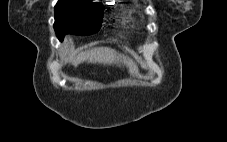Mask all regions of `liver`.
Instances as JSON below:
<instances>
[{"label": "liver", "instance_id": "liver-1", "mask_svg": "<svg viewBox=\"0 0 227 142\" xmlns=\"http://www.w3.org/2000/svg\"><path fill=\"white\" fill-rule=\"evenodd\" d=\"M64 51L69 54L72 51V40L70 38L66 39L64 42ZM70 63L77 67L83 62L93 63V64H103V65H125L129 72L133 75L138 74V68L136 64L126 56L119 54L114 49L107 47H97L84 52H80L77 55H70Z\"/></svg>", "mask_w": 227, "mask_h": 142}]
</instances>
